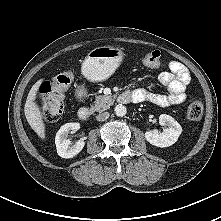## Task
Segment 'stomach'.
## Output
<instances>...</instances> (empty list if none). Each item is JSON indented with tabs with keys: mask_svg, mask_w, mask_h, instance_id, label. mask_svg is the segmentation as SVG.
I'll use <instances>...</instances> for the list:
<instances>
[{
	"mask_svg": "<svg viewBox=\"0 0 221 221\" xmlns=\"http://www.w3.org/2000/svg\"><path fill=\"white\" fill-rule=\"evenodd\" d=\"M124 57L121 48L102 46L91 50L82 63V74L91 81L108 79L120 66Z\"/></svg>",
	"mask_w": 221,
	"mask_h": 221,
	"instance_id": "0dacf381",
	"label": "stomach"
}]
</instances>
